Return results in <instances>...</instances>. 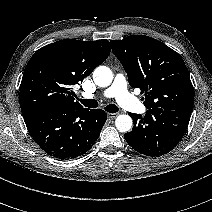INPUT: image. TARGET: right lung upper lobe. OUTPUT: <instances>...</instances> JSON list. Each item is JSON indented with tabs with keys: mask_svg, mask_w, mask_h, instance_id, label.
Here are the masks:
<instances>
[{
	"mask_svg": "<svg viewBox=\"0 0 212 212\" xmlns=\"http://www.w3.org/2000/svg\"><path fill=\"white\" fill-rule=\"evenodd\" d=\"M108 40H60L37 50L27 63L20 87L23 117L45 109H79L71 87L106 60Z\"/></svg>",
	"mask_w": 212,
	"mask_h": 212,
	"instance_id": "cb5924a9",
	"label": "right lung upper lobe"
}]
</instances>
